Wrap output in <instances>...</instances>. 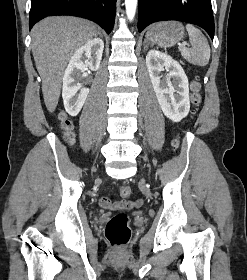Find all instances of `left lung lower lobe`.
<instances>
[{
    "label": "left lung lower lobe",
    "instance_id": "0a47b994",
    "mask_svg": "<svg viewBox=\"0 0 247 280\" xmlns=\"http://www.w3.org/2000/svg\"><path fill=\"white\" fill-rule=\"evenodd\" d=\"M138 31L153 22L178 20L202 27L214 37L211 0H139Z\"/></svg>",
    "mask_w": 247,
    "mask_h": 280
}]
</instances>
